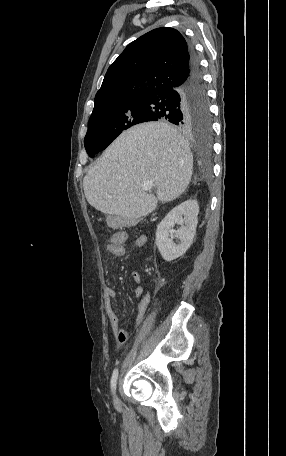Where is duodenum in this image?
Listing matches in <instances>:
<instances>
[{"label": "duodenum", "mask_w": 286, "mask_h": 456, "mask_svg": "<svg viewBox=\"0 0 286 456\" xmlns=\"http://www.w3.org/2000/svg\"><path fill=\"white\" fill-rule=\"evenodd\" d=\"M122 220H123V219H122ZM131 220H132V219H125V220H123V222H125V221H131Z\"/></svg>", "instance_id": "obj_1"}]
</instances>
